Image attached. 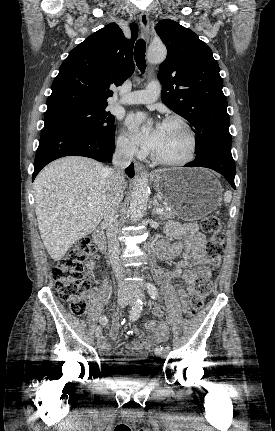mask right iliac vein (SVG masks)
<instances>
[{
    "label": "right iliac vein",
    "instance_id": "right-iliac-vein-1",
    "mask_svg": "<svg viewBox=\"0 0 275 431\" xmlns=\"http://www.w3.org/2000/svg\"><path fill=\"white\" fill-rule=\"evenodd\" d=\"M132 299L130 295H127L126 293H118V305L120 307H125L128 303H131ZM102 332V327L101 326H97L96 330H95V336L99 337L101 335Z\"/></svg>",
    "mask_w": 275,
    "mask_h": 431
}]
</instances>
